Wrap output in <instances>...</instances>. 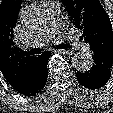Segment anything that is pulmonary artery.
<instances>
[{"label":"pulmonary artery","instance_id":"1","mask_svg":"<svg viewBox=\"0 0 113 113\" xmlns=\"http://www.w3.org/2000/svg\"><path fill=\"white\" fill-rule=\"evenodd\" d=\"M42 6L45 12V21L42 28L32 36L31 43L27 44V47L44 45L48 43L57 32L65 29L64 25L59 20V4L55 0H49L44 2ZM69 36L74 46L82 50H87V45L85 43H77V39L72 37L71 32H69Z\"/></svg>","mask_w":113,"mask_h":113}]
</instances>
